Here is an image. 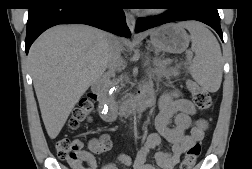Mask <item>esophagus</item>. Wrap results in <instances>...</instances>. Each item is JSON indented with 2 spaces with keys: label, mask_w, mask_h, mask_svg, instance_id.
Returning <instances> with one entry per match:
<instances>
[{
  "label": "esophagus",
  "mask_w": 252,
  "mask_h": 169,
  "mask_svg": "<svg viewBox=\"0 0 252 169\" xmlns=\"http://www.w3.org/2000/svg\"><path fill=\"white\" fill-rule=\"evenodd\" d=\"M125 16H126L127 25L129 27L131 33H133L135 30L136 19H135L134 15L131 14L130 12H126Z\"/></svg>",
  "instance_id": "34e87169"
}]
</instances>
